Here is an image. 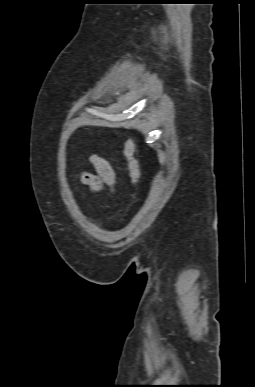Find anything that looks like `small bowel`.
I'll use <instances>...</instances> for the list:
<instances>
[{
  "mask_svg": "<svg viewBox=\"0 0 255 387\" xmlns=\"http://www.w3.org/2000/svg\"><path fill=\"white\" fill-rule=\"evenodd\" d=\"M96 173H85L81 176V181L92 191H99L104 186L113 189L115 184V172L108 161L93 155L90 158Z\"/></svg>",
  "mask_w": 255,
  "mask_h": 387,
  "instance_id": "small-bowel-1",
  "label": "small bowel"
}]
</instances>
